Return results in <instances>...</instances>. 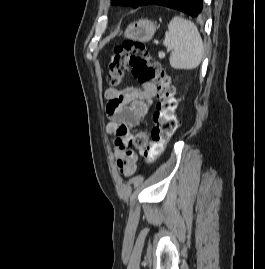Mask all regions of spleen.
<instances>
[{"label": "spleen", "instance_id": "obj_1", "mask_svg": "<svg viewBox=\"0 0 265 269\" xmlns=\"http://www.w3.org/2000/svg\"><path fill=\"white\" fill-rule=\"evenodd\" d=\"M163 45L171 51L169 61L174 69H195L202 61V38L196 25L187 19L175 16L170 21Z\"/></svg>", "mask_w": 265, "mask_h": 269}]
</instances>
